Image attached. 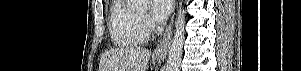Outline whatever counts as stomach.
<instances>
[{
  "label": "stomach",
  "mask_w": 301,
  "mask_h": 71,
  "mask_svg": "<svg viewBox=\"0 0 301 71\" xmlns=\"http://www.w3.org/2000/svg\"><path fill=\"white\" fill-rule=\"evenodd\" d=\"M159 62L161 61V59H157Z\"/></svg>",
  "instance_id": "stomach-1"
}]
</instances>
